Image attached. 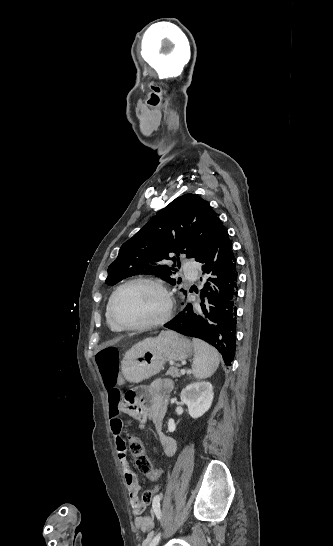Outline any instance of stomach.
<instances>
[{"instance_id": "1", "label": "stomach", "mask_w": 333, "mask_h": 546, "mask_svg": "<svg viewBox=\"0 0 333 546\" xmlns=\"http://www.w3.org/2000/svg\"><path fill=\"white\" fill-rule=\"evenodd\" d=\"M192 353V343L174 331H162L157 337H148L131 347L120 362L121 374L126 380L142 382L164 368L168 360L181 361Z\"/></svg>"}]
</instances>
